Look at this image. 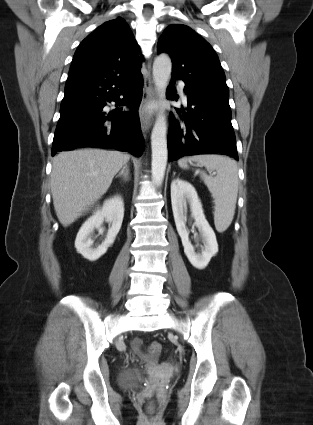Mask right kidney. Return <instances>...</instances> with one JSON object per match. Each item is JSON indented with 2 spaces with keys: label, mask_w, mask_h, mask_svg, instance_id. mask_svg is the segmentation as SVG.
Returning <instances> with one entry per match:
<instances>
[{
  "label": "right kidney",
  "mask_w": 313,
  "mask_h": 425,
  "mask_svg": "<svg viewBox=\"0 0 313 425\" xmlns=\"http://www.w3.org/2000/svg\"><path fill=\"white\" fill-rule=\"evenodd\" d=\"M124 217V202L117 195L106 200L101 209L97 210L81 226L75 240V248L84 258L95 261L104 255L113 243L121 228ZM104 220L111 224L106 239L97 248H92V234L95 228H100Z\"/></svg>",
  "instance_id": "1"
}]
</instances>
